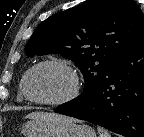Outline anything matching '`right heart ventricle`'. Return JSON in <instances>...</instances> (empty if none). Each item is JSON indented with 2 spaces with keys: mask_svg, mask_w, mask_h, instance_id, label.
Listing matches in <instances>:
<instances>
[{
  "mask_svg": "<svg viewBox=\"0 0 144 137\" xmlns=\"http://www.w3.org/2000/svg\"><path fill=\"white\" fill-rule=\"evenodd\" d=\"M21 85H22V81L20 83V89H19V94H18V97L19 99H24L23 95H22V92H21Z\"/></svg>",
  "mask_w": 144,
  "mask_h": 137,
  "instance_id": "e07e8e85",
  "label": "right heart ventricle"
}]
</instances>
